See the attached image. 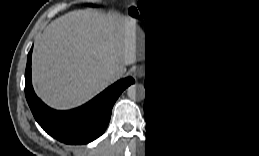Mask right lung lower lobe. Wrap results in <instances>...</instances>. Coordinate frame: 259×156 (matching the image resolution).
I'll list each match as a JSON object with an SVG mask.
<instances>
[{"instance_id":"98d812e1","label":"right lung lower lobe","mask_w":259,"mask_h":156,"mask_svg":"<svg viewBox=\"0 0 259 156\" xmlns=\"http://www.w3.org/2000/svg\"><path fill=\"white\" fill-rule=\"evenodd\" d=\"M31 54L27 57L25 95L34 118L55 139L66 144H86L106 130L112 107L120 94L131 84L132 77L117 81L86 104L67 111L46 106L35 94L31 83Z\"/></svg>"}]
</instances>
